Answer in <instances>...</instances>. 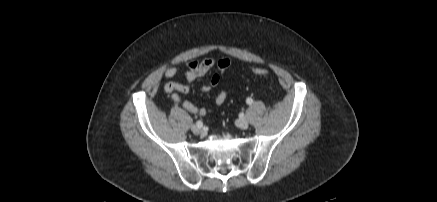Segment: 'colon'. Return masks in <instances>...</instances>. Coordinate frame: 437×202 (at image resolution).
<instances>
[{"label":"colon","mask_w":437,"mask_h":202,"mask_svg":"<svg viewBox=\"0 0 437 202\" xmlns=\"http://www.w3.org/2000/svg\"><path fill=\"white\" fill-rule=\"evenodd\" d=\"M253 74L256 76H266L268 74V70L265 68L256 67L252 70Z\"/></svg>","instance_id":"1"}]
</instances>
